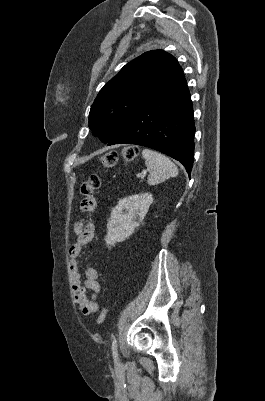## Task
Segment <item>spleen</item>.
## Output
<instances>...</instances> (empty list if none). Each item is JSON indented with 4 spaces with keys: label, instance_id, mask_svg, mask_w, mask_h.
Instances as JSON below:
<instances>
[{
    "label": "spleen",
    "instance_id": "spleen-1",
    "mask_svg": "<svg viewBox=\"0 0 265 401\" xmlns=\"http://www.w3.org/2000/svg\"><path fill=\"white\" fill-rule=\"evenodd\" d=\"M142 156L145 158L148 170H150L147 180L151 186L159 184V182H164L170 176H177L178 168L176 164L171 162L170 158H167L161 152L150 150V148H143Z\"/></svg>",
    "mask_w": 265,
    "mask_h": 401
}]
</instances>
